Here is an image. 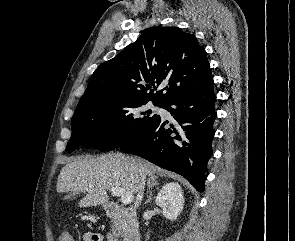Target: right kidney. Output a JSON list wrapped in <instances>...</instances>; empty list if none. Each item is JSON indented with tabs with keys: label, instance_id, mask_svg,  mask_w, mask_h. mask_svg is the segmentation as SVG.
<instances>
[{
	"label": "right kidney",
	"instance_id": "ca27d5eb",
	"mask_svg": "<svg viewBox=\"0 0 295 241\" xmlns=\"http://www.w3.org/2000/svg\"><path fill=\"white\" fill-rule=\"evenodd\" d=\"M155 203L162 208V213L165 218L175 221L180 215L184 205V196L181 186L174 182L167 183L158 192Z\"/></svg>",
	"mask_w": 295,
	"mask_h": 241
}]
</instances>
